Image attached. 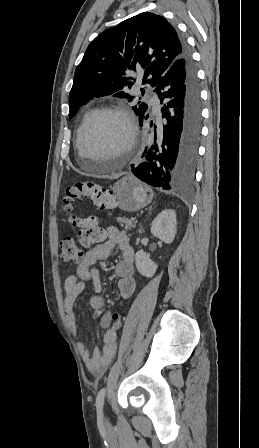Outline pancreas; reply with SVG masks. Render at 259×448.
<instances>
[{
  "mask_svg": "<svg viewBox=\"0 0 259 448\" xmlns=\"http://www.w3.org/2000/svg\"><path fill=\"white\" fill-rule=\"evenodd\" d=\"M135 218H117V222H119L120 226H124L125 230H132V228H135L133 222Z\"/></svg>",
  "mask_w": 259,
  "mask_h": 448,
  "instance_id": "cf45deb5",
  "label": "pancreas"
}]
</instances>
